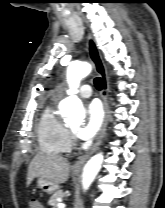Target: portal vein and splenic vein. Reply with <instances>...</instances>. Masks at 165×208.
<instances>
[{
	"mask_svg": "<svg viewBox=\"0 0 165 208\" xmlns=\"http://www.w3.org/2000/svg\"><path fill=\"white\" fill-rule=\"evenodd\" d=\"M57 207H58V208H65L66 206H65V204H63V203H58V204H57Z\"/></svg>",
	"mask_w": 165,
	"mask_h": 208,
	"instance_id": "portal-vein-and-splenic-vein-1",
	"label": "portal vein and splenic vein"
}]
</instances>
